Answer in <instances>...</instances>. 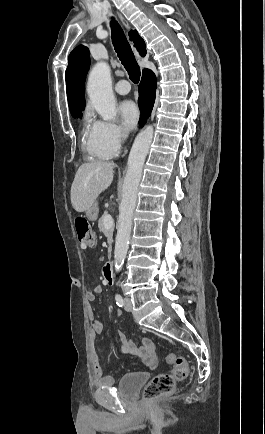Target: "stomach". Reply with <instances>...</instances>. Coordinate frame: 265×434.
Returning a JSON list of instances; mask_svg holds the SVG:
<instances>
[{"instance_id":"stomach-1","label":"stomach","mask_w":265,"mask_h":434,"mask_svg":"<svg viewBox=\"0 0 265 434\" xmlns=\"http://www.w3.org/2000/svg\"><path fill=\"white\" fill-rule=\"evenodd\" d=\"M98 210V204L97 202H94L93 206H91V208H89V210H87L86 212L88 220H96L98 216Z\"/></svg>"}]
</instances>
